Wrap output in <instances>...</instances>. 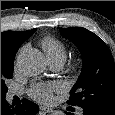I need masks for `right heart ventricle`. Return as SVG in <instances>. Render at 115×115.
<instances>
[{
    "mask_svg": "<svg viewBox=\"0 0 115 115\" xmlns=\"http://www.w3.org/2000/svg\"><path fill=\"white\" fill-rule=\"evenodd\" d=\"M40 45L44 50L49 62H65L67 57L66 47L59 39L52 36H47L41 40Z\"/></svg>",
    "mask_w": 115,
    "mask_h": 115,
    "instance_id": "1",
    "label": "right heart ventricle"
}]
</instances>
